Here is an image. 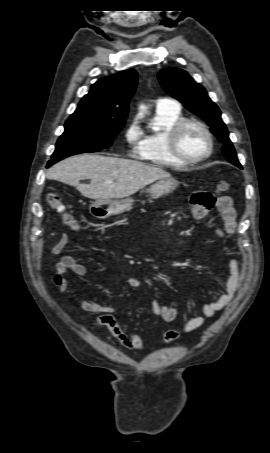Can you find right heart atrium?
Masks as SVG:
<instances>
[{
    "label": "right heart atrium",
    "instance_id": "d8ad5b80",
    "mask_svg": "<svg viewBox=\"0 0 270 453\" xmlns=\"http://www.w3.org/2000/svg\"><path fill=\"white\" fill-rule=\"evenodd\" d=\"M124 139L130 155L137 154L142 142V131L136 120H132L125 129Z\"/></svg>",
    "mask_w": 270,
    "mask_h": 453
}]
</instances>
